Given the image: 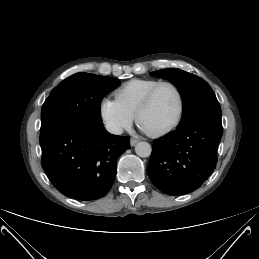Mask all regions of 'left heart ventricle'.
Returning <instances> with one entry per match:
<instances>
[{"instance_id":"b2bd125f","label":"left heart ventricle","mask_w":259,"mask_h":259,"mask_svg":"<svg viewBox=\"0 0 259 259\" xmlns=\"http://www.w3.org/2000/svg\"><path fill=\"white\" fill-rule=\"evenodd\" d=\"M178 97L169 86L159 88L153 101L141 119L142 127L147 131H158L167 127L177 116Z\"/></svg>"}]
</instances>
